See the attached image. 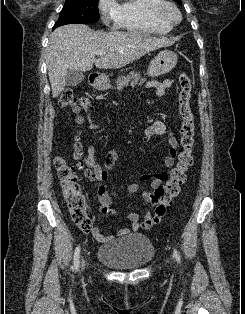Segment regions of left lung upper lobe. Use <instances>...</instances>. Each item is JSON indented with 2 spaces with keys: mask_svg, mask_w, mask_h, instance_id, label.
I'll use <instances>...</instances> for the list:
<instances>
[{
  "mask_svg": "<svg viewBox=\"0 0 245 314\" xmlns=\"http://www.w3.org/2000/svg\"><path fill=\"white\" fill-rule=\"evenodd\" d=\"M175 2H176L177 4H179V5L182 4L181 0H175Z\"/></svg>",
  "mask_w": 245,
  "mask_h": 314,
  "instance_id": "1",
  "label": "left lung upper lobe"
}]
</instances>
